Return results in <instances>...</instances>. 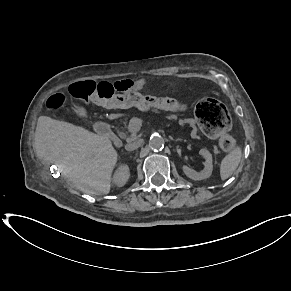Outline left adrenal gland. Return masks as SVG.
Returning a JSON list of instances; mask_svg holds the SVG:
<instances>
[{"instance_id": "a2214340", "label": "left adrenal gland", "mask_w": 291, "mask_h": 291, "mask_svg": "<svg viewBox=\"0 0 291 291\" xmlns=\"http://www.w3.org/2000/svg\"><path fill=\"white\" fill-rule=\"evenodd\" d=\"M180 140H181V139H177L176 142H177V141H180Z\"/></svg>"}]
</instances>
